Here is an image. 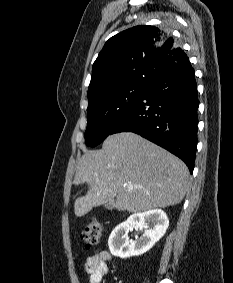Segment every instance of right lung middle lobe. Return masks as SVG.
<instances>
[{"label":"right lung middle lobe","mask_w":233,"mask_h":283,"mask_svg":"<svg viewBox=\"0 0 233 283\" xmlns=\"http://www.w3.org/2000/svg\"><path fill=\"white\" fill-rule=\"evenodd\" d=\"M148 85H128L109 93L88 105V124L85 131L86 145L95 147L120 123Z\"/></svg>","instance_id":"right-lung-middle-lobe-1"}]
</instances>
